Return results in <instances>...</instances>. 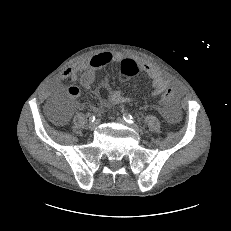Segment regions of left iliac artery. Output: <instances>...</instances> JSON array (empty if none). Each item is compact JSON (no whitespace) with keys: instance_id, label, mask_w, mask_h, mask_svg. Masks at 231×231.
<instances>
[{"instance_id":"obj_1","label":"left iliac artery","mask_w":231,"mask_h":231,"mask_svg":"<svg viewBox=\"0 0 231 231\" xmlns=\"http://www.w3.org/2000/svg\"><path fill=\"white\" fill-rule=\"evenodd\" d=\"M123 118H124V120H125L126 122H128L129 124H134V119H133V117H132L130 114L124 113V114H123Z\"/></svg>"}]
</instances>
